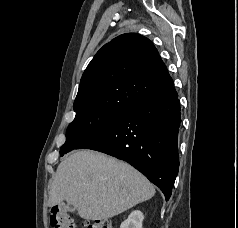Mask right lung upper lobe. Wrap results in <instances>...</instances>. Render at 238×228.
<instances>
[{"label": "right lung upper lobe", "instance_id": "1", "mask_svg": "<svg viewBox=\"0 0 238 228\" xmlns=\"http://www.w3.org/2000/svg\"><path fill=\"white\" fill-rule=\"evenodd\" d=\"M174 86L153 43L135 33L104 45L84 71L73 105L90 108L129 107Z\"/></svg>", "mask_w": 238, "mask_h": 228}]
</instances>
